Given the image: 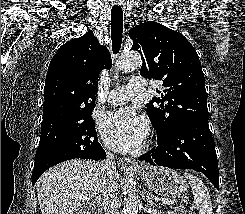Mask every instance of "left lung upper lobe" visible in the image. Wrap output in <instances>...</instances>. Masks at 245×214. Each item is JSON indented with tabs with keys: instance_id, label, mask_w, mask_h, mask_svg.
Segmentation results:
<instances>
[{
	"instance_id": "left-lung-upper-lobe-1",
	"label": "left lung upper lobe",
	"mask_w": 245,
	"mask_h": 214,
	"mask_svg": "<svg viewBox=\"0 0 245 214\" xmlns=\"http://www.w3.org/2000/svg\"><path fill=\"white\" fill-rule=\"evenodd\" d=\"M133 49L140 52V74L163 81L147 104V114L157 137L167 138L193 120L208 121L205 77L198 54L179 32L156 22H145L130 30Z\"/></svg>"
}]
</instances>
